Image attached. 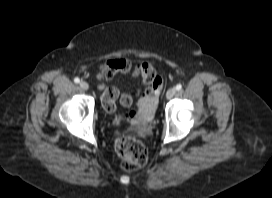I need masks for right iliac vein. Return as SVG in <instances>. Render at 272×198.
<instances>
[{
  "mask_svg": "<svg viewBox=\"0 0 272 198\" xmlns=\"http://www.w3.org/2000/svg\"><path fill=\"white\" fill-rule=\"evenodd\" d=\"M79 85L83 90H88L89 89V84L87 82H85V81H81Z\"/></svg>",
  "mask_w": 272,
  "mask_h": 198,
  "instance_id": "obj_1",
  "label": "right iliac vein"
}]
</instances>
